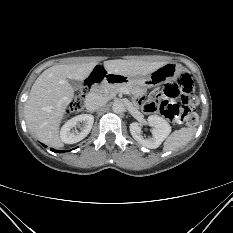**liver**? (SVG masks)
I'll return each instance as SVG.
<instances>
[{"label": "liver", "instance_id": "6515ba94", "mask_svg": "<svg viewBox=\"0 0 233 233\" xmlns=\"http://www.w3.org/2000/svg\"><path fill=\"white\" fill-rule=\"evenodd\" d=\"M165 62L108 60L104 68L109 74L146 76ZM96 62L55 65L46 69L34 82L25 103L24 113L28 129L43 143L62 147L59 128L65 111L74 97L69 80L83 81L93 71Z\"/></svg>", "mask_w": 233, "mask_h": 233}]
</instances>
